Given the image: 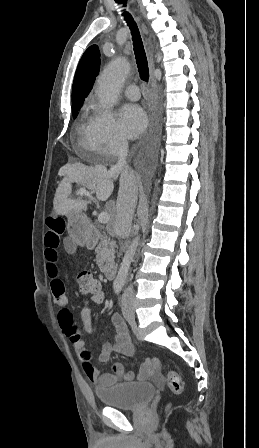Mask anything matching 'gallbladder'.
Listing matches in <instances>:
<instances>
[{"label":"gallbladder","instance_id":"obj_1","mask_svg":"<svg viewBox=\"0 0 259 448\" xmlns=\"http://www.w3.org/2000/svg\"><path fill=\"white\" fill-rule=\"evenodd\" d=\"M64 244H65V248H66V252H68V254H74V252H76V244L75 242H73V240H64Z\"/></svg>","mask_w":259,"mask_h":448}]
</instances>
